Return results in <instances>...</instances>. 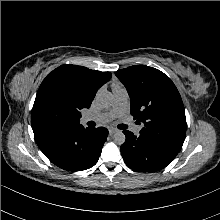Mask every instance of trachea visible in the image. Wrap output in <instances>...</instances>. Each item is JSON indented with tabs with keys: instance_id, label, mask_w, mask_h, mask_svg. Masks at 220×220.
Returning <instances> with one entry per match:
<instances>
[{
	"instance_id": "3493384b",
	"label": "trachea",
	"mask_w": 220,
	"mask_h": 220,
	"mask_svg": "<svg viewBox=\"0 0 220 220\" xmlns=\"http://www.w3.org/2000/svg\"><path fill=\"white\" fill-rule=\"evenodd\" d=\"M118 128L124 130V129L127 128V125H125V124H120V125L118 126Z\"/></svg>"
}]
</instances>
